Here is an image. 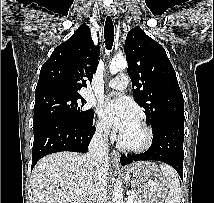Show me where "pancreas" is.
Here are the masks:
<instances>
[{
	"label": "pancreas",
	"mask_w": 214,
	"mask_h": 203,
	"mask_svg": "<svg viewBox=\"0 0 214 203\" xmlns=\"http://www.w3.org/2000/svg\"><path fill=\"white\" fill-rule=\"evenodd\" d=\"M131 196L133 197L134 203H136V202H135L136 194H135L134 192H132V193H131Z\"/></svg>",
	"instance_id": "1"
}]
</instances>
